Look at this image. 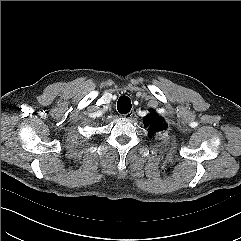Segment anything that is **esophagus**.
<instances>
[{
  "mask_svg": "<svg viewBox=\"0 0 241 241\" xmlns=\"http://www.w3.org/2000/svg\"><path fill=\"white\" fill-rule=\"evenodd\" d=\"M134 112L130 111L124 115H121V117L125 118V119H131L133 117Z\"/></svg>",
  "mask_w": 241,
  "mask_h": 241,
  "instance_id": "obj_1",
  "label": "esophagus"
}]
</instances>
